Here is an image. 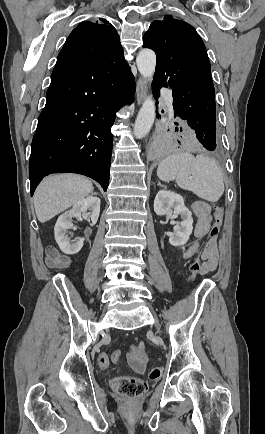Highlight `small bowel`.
I'll list each match as a JSON object with an SVG mask.
<instances>
[{"instance_id": "c3829d8e", "label": "small bowel", "mask_w": 265, "mask_h": 434, "mask_svg": "<svg viewBox=\"0 0 265 434\" xmlns=\"http://www.w3.org/2000/svg\"><path fill=\"white\" fill-rule=\"evenodd\" d=\"M192 211L196 217L194 236L197 241L182 252L183 258H191L198 251L200 246L199 240L208 235L211 229V207L207 202L201 200L195 201L192 204ZM200 257L209 265V267H203V274L208 275L211 271L215 270L218 263L216 238L208 240L200 254ZM147 354L148 352L143 342H138L131 346L129 353V363L131 367L140 374L145 372V360L147 358Z\"/></svg>"}]
</instances>
